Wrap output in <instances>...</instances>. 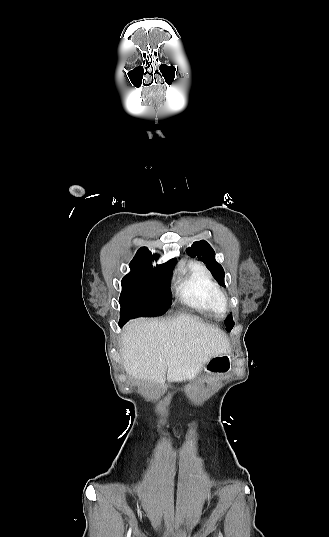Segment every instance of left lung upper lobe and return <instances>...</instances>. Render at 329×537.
Returning a JSON list of instances; mask_svg holds the SVG:
<instances>
[{
  "instance_id": "left-lung-upper-lobe-1",
  "label": "left lung upper lobe",
  "mask_w": 329,
  "mask_h": 537,
  "mask_svg": "<svg viewBox=\"0 0 329 537\" xmlns=\"http://www.w3.org/2000/svg\"><path fill=\"white\" fill-rule=\"evenodd\" d=\"M187 253L191 256H198L210 270L214 278L224 285V270L222 266L216 262L215 252L206 241L201 240L193 243L191 247L187 248ZM225 325L227 329L231 331L234 326L232 315L226 319Z\"/></svg>"
}]
</instances>
